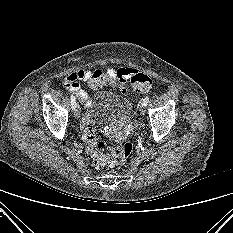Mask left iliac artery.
Returning <instances> with one entry per match:
<instances>
[{
	"label": "left iliac artery",
	"instance_id": "1",
	"mask_svg": "<svg viewBox=\"0 0 233 233\" xmlns=\"http://www.w3.org/2000/svg\"><path fill=\"white\" fill-rule=\"evenodd\" d=\"M148 103H149V97L147 96V97L144 98L143 104H144V106H147Z\"/></svg>",
	"mask_w": 233,
	"mask_h": 233
}]
</instances>
